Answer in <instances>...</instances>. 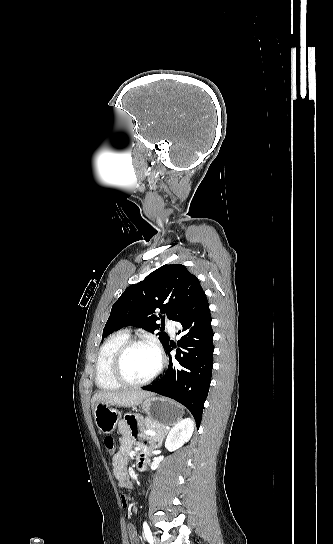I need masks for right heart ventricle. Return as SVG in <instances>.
Instances as JSON below:
<instances>
[{"instance_id":"right-heart-ventricle-1","label":"right heart ventricle","mask_w":333,"mask_h":544,"mask_svg":"<svg viewBox=\"0 0 333 544\" xmlns=\"http://www.w3.org/2000/svg\"><path fill=\"white\" fill-rule=\"evenodd\" d=\"M129 338L128 331H118L111 334L101 344L95 364V382L98 388L111 391L122 386L111 375V363L117 349Z\"/></svg>"}]
</instances>
